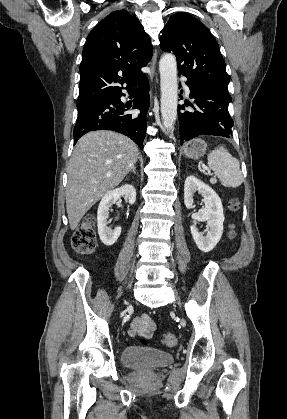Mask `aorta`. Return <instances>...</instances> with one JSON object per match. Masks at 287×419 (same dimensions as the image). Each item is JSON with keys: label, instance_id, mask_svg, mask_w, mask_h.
Returning <instances> with one entry per match:
<instances>
[{"label": "aorta", "instance_id": "762f6f07", "mask_svg": "<svg viewBox=\"0 0 287 419\" xmlns=\"http://www.w3.org/2000/svg\"><path fill=\"white\" fill-rule=\"evenodd\" d=\"M161 87V117L164 129L170 131L177 118L178 81L177 62L172 54H165L159 62Z\"/></svg>", "mask_w": 287, "mask_h": 419}]
</instances>
